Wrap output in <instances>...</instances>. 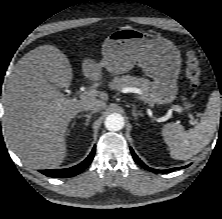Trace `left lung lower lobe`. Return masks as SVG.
Segmentation results:
<instances>
[{
    "label": "left lung lower lobe",
    "mask_w": 222,
    "mask_h": 219,
    "mask_svg": "<svg viewBox=\"0 0 222 219\" xmlns=\"http://www.w3.org/2000/svg\"><path fill=\"white\" fill-rule=\"evenodd\" d=\"M130 151H131V153H132V156H133L135 162H137L138 164H140L144 169L149 170V171H151V172L169 173V172H172V171L175 170V169H178V168H171V169H167V170H157V169L150 168V167L146 166V165L138 158V156L134 153V151H133L132 148H130ZM186 167H188V165H187V166H184L183 168H186Z\"/></svg>",
    "instance_id": "1"
}]
</instances>
